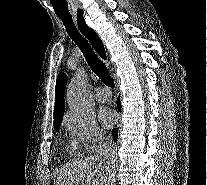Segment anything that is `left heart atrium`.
Returning a JSON list of instances; mask_svg holds the SVG:
<instances>
[{"label": "left heart atrium", "instance_id": "obj_1", "mask_svg": "<svg viewBox=\"0 0 207 185\" xmlns=\"http://www.w3.org/2000/svg\"><path fill=\"white\" fill-rule=\"evenodd\" d=\"M99 118L101 123L108 127L111 126L116 120V114L113 110L104 108L99 112Z\"/></svg>", "mask_w": 207, "mask_h": 185}]
</instances>
